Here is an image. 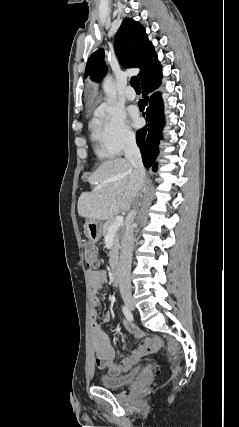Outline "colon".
<instances>
[{"mask_svg":"<svg viewBox=\"0 0 239 427\" xmlns=\"http://www.w3.org/2000/svg\"><path fill=\"white\" fill-rule=\"evenodd\" d=\"M85 261L88 267L97 268L100 265V257L94 244L88 242L84 245ZM158 373V369L156 370Z\"/></svg>","mask_w":239,"mask_h":427,"instance_id":"obj_1","label":"colon"}]
</instances>
